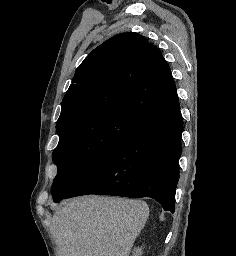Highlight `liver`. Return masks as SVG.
<instances>
[{
    "instance_id": "obj_1",
    "label": "liver",
    "mask_w": 236,
    "mask_h": 256,
    "mask_svg": "<svg viewBox=\"0 0 236 256\" xmlns=\"http://www.w3.org/2000/svg\"><path fill=\"white\" fill-rule=\"evenodd\" d=\"M149 208L142 200L82 196L61 202L52 218L57 256H130Z\"/></svg>"
}]
</instances>
